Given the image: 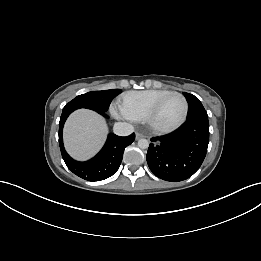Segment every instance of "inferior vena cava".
Instances as JSON below:
<instances>
[{"label":"inferior vena cava","instance_id":"1","mask_svg":"<svg viewBox=\"0 0 261 261\" xmlns=\"http://www.w3.org/2000/svg\"><path fill=\"white\" fill-rule=\"evenodd\" d=\"M113 130L118 136H128L134 132V127L126 122H117L114 124Z\"/></svg>","mask_w":261,"mask_h":261}]
</instances>
